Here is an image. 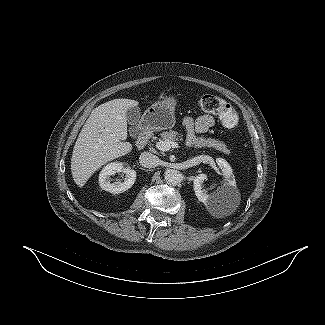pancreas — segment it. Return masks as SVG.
<instances>
[{
  "mask_svg": "<svg viewBox=\"0 0 325 325\" xmlns=\"http://www.w3.org/2000/svg\"><path fill=\"white\" fill-rule=\"evenodd\" d=\"M163 141H178L182 140V136L177 131L169 130L166 132H162L160 134ZM195 145L196 147L202 148V147H212L216 150L223 152L224 154H230V150L227 148V145L223 141H219L217 139L213 138H205V137H197L195 139Z\"/></svg>",
  "mask_w": 325,
  "mask_h": 325,
  "instance_id": "1",
  "label": "pancreas"
}]
</instances>
